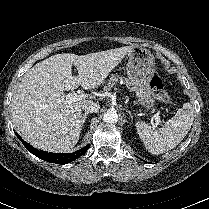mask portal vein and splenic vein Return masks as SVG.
I'll return each instance as SVG.
<instances>
[{
	"label": "portal vein and splenic vein",
	"mask_w": 209,
	"mask_h": 209,
	"mask_svg": "<svg viewBox=\"0 0 209 209\" xmlns=\"http://www.w3.org/2000/svg\"><path fill=\"white\" fill-rule=\"evenodd\" d=\"M87 97H88V95H86V94L68 93L66 95V100L68 103H71V102H77V101L84 100ZM154 117H155L156 125H159L162 123L160 120V117L158 115H155Z\"/></svg>",
	"instance_id": "1"
}]
</instances>
